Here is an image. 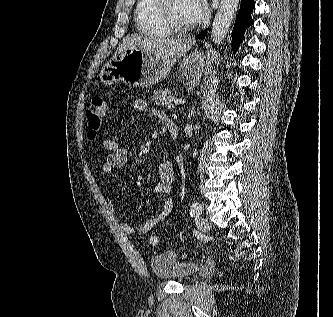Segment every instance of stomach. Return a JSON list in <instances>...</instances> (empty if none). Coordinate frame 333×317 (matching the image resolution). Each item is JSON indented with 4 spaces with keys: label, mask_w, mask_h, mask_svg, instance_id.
I'll list each match as a JSON object with an SVG mask.
<instances>
[{
    "label": "stomach",
    "mask_w": 333,
    "mask_h": 317,
    "mask_svg": "<svg viewBox=\"0 0 333 317\" xmlns=\"http://www.w3.org/2000/svg\"><path fill=\"white\" fill-rule=\"evenodd\" d=\"M176 62L162 58L139 48H131L106 63L99 78L103 85L119 81L130 87L148 86L164 79ZM205 64V55L194 52L185 56L180 63L183 80L191 86L200 82Z\"/></svg>",
    "instance_id": "stomach-1"
}]
</instances>
